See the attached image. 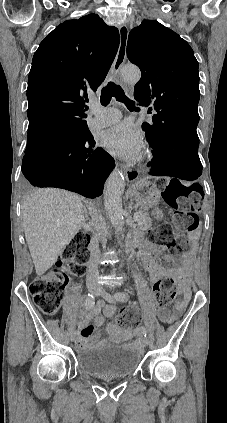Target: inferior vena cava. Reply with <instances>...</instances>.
Segmentation results:
<instances>
[{
    "mask_svg": "<svg viewBox=\"0 0 227 423\" xmlns=\"http://www.w3.org/2000/svg\"><path fill=\"white\" fill-rule=\"evenodd\" d=\"M92 223L94 225H102L104 223V219L102 217H92ZM99 243H100V235L99 233H94L93 237L90 239V259L88 265V281H97L99 279V271H98V257H99Z\"/></svg>",
    "mask_w": 227,
    "mask_h": 423,
    "instance_id": "inferior-vena-cava-1",
    "label": "inferior vena cava"
}]
</instances>
